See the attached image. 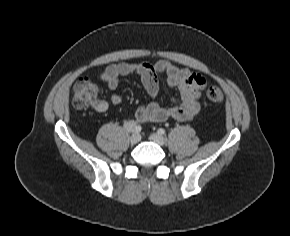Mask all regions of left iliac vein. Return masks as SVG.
<instances>
[{
    "mask_svg": "<svg viewBox=\"0 0 290 236\" xmlns=\"http://www.w3.org/2000/svg\"><path fill=\"white\" fill-rule=\"evenodd\" d=\"M151 139L160 146L164 145L166 142L165 138L159 133H152Z\"/></svg>",
    "mask_w": 290,
    "mask_h": 236,
    "instance_id": "4c4485c4",
    "label": "left iliac vein"
}]
</instances>
